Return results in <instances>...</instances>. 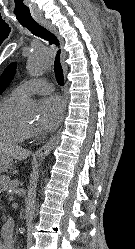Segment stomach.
Masks as SVG:
<instances>
[{
  "mask_svg": "<svg viewBox=\"0 0 135 249\" xmlns=\"http://www.w3.org/2000/svg\"><path fill=\"white\" fill-rule=\"evenodd\" d=\"M12 165V159L4 154H0V174L7 172ZM3 180V177L0 178Z\"/></svg>",
  "mask_w": 135,
  "mask_h": 249,
  "instance_id": "stomach-1",
  "label": "stomach"
}]
</instances>
